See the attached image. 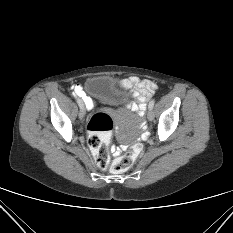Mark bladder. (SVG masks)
<instances>
[{"instance_id": "obj_1", "label": "bladder", "mask_w": 233, "mask_h": 233, "mask_svg": "<svg viewBox=\"0 0 233 233\" xmlns=\"http://www.w3.org/2000/svg\"><path fill=\"white\" fill-rule=\"evenodd\" d=\"M85 91L89 96L110 105L124 104L131 99L129 89L107 75L89 77L85 81Z\"/></svg>"}]
</instances>
